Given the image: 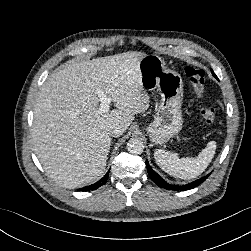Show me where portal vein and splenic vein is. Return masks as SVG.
Here are the masks:
<instances>
[{
    "label": "portal vein and splenic vein",
    "mask_w": 251,
    "mask_h": 251,
    "mask_svg": "<svg viewBox=\"0 0 251 251\" xmlns=\"http://www.w3.org/2000/svg\"><path fill=\"white\" fill-rule=\"evenodd\" d=\"M99 100H100V107L98 112L99 113H105L110 108V103L113 101L112 98L108 97L103 91L99 90L97 91Z\"/></svg>",
    "instance_id": "portal-vein-and-splenic-vein-1"
}]
</instances>
